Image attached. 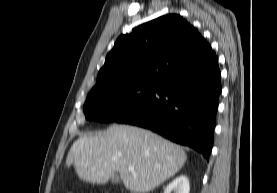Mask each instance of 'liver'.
I'll return each instance as SVG.
<instances>
[{
  "mask_svg": "<svg viewBox=\"0 0 277 193\" xmlns=\"http://www.w3.org/2000/svg\"><path fill=\"white\" fill-rule=\"evenodd\" d=\"M186 159L180 146L158 134L112 124L104 132L76 140L66 165L73 164L80 179L97 184H105L118 172L126 189L146 193L173 177ZM129 166L134 172H129Z\"/></svg>",
  "mask_w": 277,
  "mask_h": 193,
  "instance_id": "liver-1",
  "label": "liver"
}]
</instances>
